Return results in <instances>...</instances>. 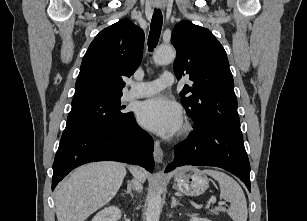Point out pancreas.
Listing matches in <instances>:
<instances>
[{
    "label": "pancreas",
    "instance_id": "pancreas-1",
    "mask_svg": "<svg viewBox=\"0 0 307 221\" xmlns=\"http://www.w3.org/2000/svg\"><path fill=\"white\" fill-rule=\"evenodd\" d=\"M222 210H223V208H221V207H216V208L211 209V210H210V213H211V214L218 215V214H219V211H222Z\"/></svg>",
    "mask_w": 307,
    "mask_h": 221
}]
</instances>
